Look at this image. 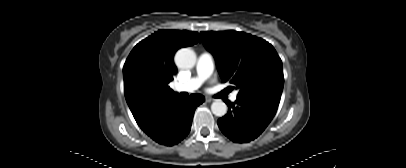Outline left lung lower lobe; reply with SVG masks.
Segmentation results:
<instances>
[{
  "mask_svg": "<svg viewBox=\"0 0 406 168\" xmlns=\"http://www.w3.org/2000/svg\"><path fill=\"white\" fill-rule=\"evenodd\" d=\"M228 113L217 123L232 141L245 143L257 138L273 119L278 105L262 100L239 98L235 103L225 101Z\"/></svg>",
  "mask_w": 406,
  "mask_h": 168,
  "instance_id": "0a47b994",
  "label": "left lung lower lobe"
}]
</instances>
